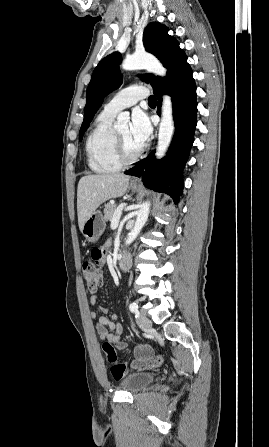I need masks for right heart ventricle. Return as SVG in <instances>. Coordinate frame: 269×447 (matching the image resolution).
Instances as JSON below:
<instances>
[{"instance_id":"1","label":"right heart ventricle","mask_w":269,"mask_h":447,"mask_svg":"<svg viewBox=\"0 0 269 447\" xmlns=\"http://www.w3.org/2000/svg\"><path fill=\"white\" fill-rule=\"evenodd\" d=\"M114 116L103 110L97 116L95 127L87 140L88 165L97 173H108L121 168L115 158L113 146Z\"/></svg>"}]
</instances>
